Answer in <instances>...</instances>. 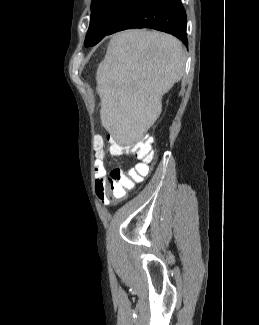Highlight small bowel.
Here are the masks:
<instances>
[{
	"instance_id": "small-bowel-1",
	"label": "small bowel",
	"mask_w": 259,
	"mask_h": 325,
	"mask_svg": "<svg viewBox=\"0 0 259 325\" xmlns=\"http://www.w3.org/2000/svg\"><path fill=\"white\" fill-rule=\"evenodd\" d=\"M94 174L96 178V187L98 191L101 181L106 177V168L104 165V153L103 154L96 153V160L94 163ZM101 200L103 203L105 204L107 203L104 199L101 198Z\"/></svg>"
}]
</instances>
